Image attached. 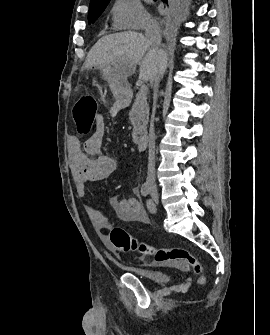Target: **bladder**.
Returning <instances> with one entry per match:
<instances>
[{"label": "bladder", "mask_w": 270, "mask_h": 335, "mask_svg": "<svg viewBox=\"0 0 270 335\" xmlns=\"http://www.w3.org/2000/svg\"><path fill=\"white\" fill-rule=\"evenodd\" d=\"M134 273H139L142 279L146 282H155V283H165L169 280L170 275L165 270H156V271H145L140 270L138 272L130 271Z\"/></svg>", "instance_id": "31cf9c89"}]
</instances>
